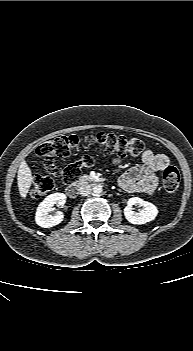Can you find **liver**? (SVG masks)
<instances>
[{
	"label": "liver",
	"mask_w": 193,
	"mask_h": 351,
	"mask_svg": "<svg viewBox=\"0 0 193 351\" xmlns=\"http://www.w3.org/2000/svg\"><path fill=\"white\" fill-rule=\"evenodd\" d=\"M33 181L32 172L27 165L26 161L20 163L18 174H17V184L20 196L26 198L29 188L31 187Z\"/></svg>",
	"instance_id": "obj_1"
}]
</instances>
